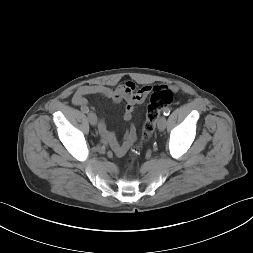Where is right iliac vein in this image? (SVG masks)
<instances>
[{
	"label": "right iliac vein",
	"mask_w": 253,
	"mask_h": 253,
	"mask_svg": "<svg viewBox=\"0 0 253 253\" xmlns=\"http://www.w3.org/2000/svg\"><path fill=\"white\" fill-rule=\"evenodd\" d=\"M88 120L91 125L95 126L97 124V117L93 112L88 113Z\"/></svg>",
	"instance_id": "obj_1"
}]
</instances>
